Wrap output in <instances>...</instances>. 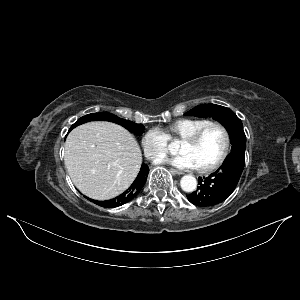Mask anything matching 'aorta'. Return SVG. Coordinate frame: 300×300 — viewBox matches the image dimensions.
I'll return each instance as SVG.
<instances>
[{
    "label": "aorta",
    "mask_w": 300,
    "mask_h": 300,
    "mask_svg": "<svg viewBox=\"0 0 300 300\" xmlns=\"http://www.w3.org/2000/svg\"><path fill=\"white\" fill-rule=\"evenodd\" d=\"M180 186L185 192H193L197 187V180L192 175H185L181 178Z\"/></svg>",
    "instance_id": "762f6f07"
}]
</instances>
